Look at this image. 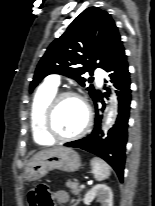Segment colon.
Segmentation results:
<instances>
[{
	"label": "colon",
	"instance_id": "colon-1",
	"mask_svg": "<svg viewBox=\"0 0 155 206\" xmlns=\"http://www.w3.org/2000/svg\"><path fill=\"white\" fill-rule=\"evenodd\" d=\"M28 201L30 206H49L51 198L48 187L46 185H39L31 190L28 194Z\"/></svg>",
	"mask_w": 155,
	"mask_h": 206
}]
</instances>
